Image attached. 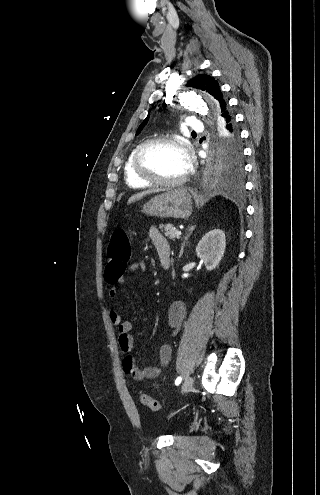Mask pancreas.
<instances>
[{
    "label": "pancreas",
    "instance_id": "cf45deb5",
    "mask_svg": "<svg viewBox=\"0 0 320 495\" xmlns=\"http://www.w3.org/2000/svg\"><path fill=\"white\" fill-rule=\"evenodd\" d=\"M159 228L165 232V236L172 240H175L178 236L176 235L177 228L173 224L159 225Z\"/></svg>",
    "mask_w": 320,
    "mask_h": 495
}]
</instances>
